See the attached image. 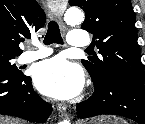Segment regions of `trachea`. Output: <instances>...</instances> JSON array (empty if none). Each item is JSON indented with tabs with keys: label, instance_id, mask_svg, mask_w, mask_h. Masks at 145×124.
<instances>
[{
	"label": "trachea",
	"instance_id": "3493384b",
	"mask_svg": "<svg viewBox=\"0 0 145 124\" xmlns=\"http://www.w3.org/2000/svg\"><path fill=\"white\" fill-rule=\"evenodd\" d=\"M43 42L45 45H50L52 43L63 44L59 26L55 21L49 22L47 34Z\"/></svg>",
	"mask_w": 145,
	"mask_h": 124
}]
</instances>
